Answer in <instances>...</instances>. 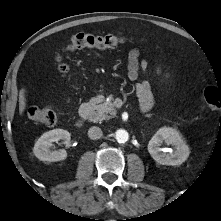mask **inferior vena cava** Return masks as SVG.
Masks as SVG:
<instances>
[{
	"instance_id": "inferior-vena-cava-1",
	"label": "inferior vena cava",
	"mask_w": 221,
	"mask_h": 221,
	"mask_svg": "<svg viewBox=\"0 0 221 221\" xmlns=\"http://www.w3.org/2000/svg\"><path fill=\"white\" fill-rule=\"evenodd\" d=\"M103 135L101 128L93 126L88 130V136L92 140L100 139Z\"/></svg>"
}]
</instances>
